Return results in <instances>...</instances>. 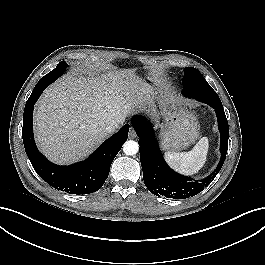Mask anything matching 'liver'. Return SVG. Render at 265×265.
<instances>
[{
	"label": "liver",
	"mask_w": 265,
	"mask_h": 265,
	"mask_svg": "<svg viewBox=\"0 0 265 265\" xmlns=\"http://www.w3.org/2000/svg\"><path fill=\"white\" fill-rule=\"evenodd\" d=\"M148 85L134 69L97 76H68L45 90L35 106L34 134L41 152L56 164L84 159L121 126L134 109L150 110Z\"/></svg>",
	"instance_id": "6515ba94"
}]
</instances>
